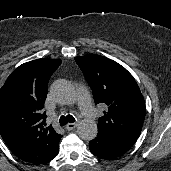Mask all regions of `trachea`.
<instances>
[{
  "mask_svg": "<svg viewBox=\"0 0 171 171\" xmlns=\"http://www.w3.org/2000/svg\"><path fill=\"white\" fill-rule=\"evenodd\" d=\"M73 123L75 122V118L72 115H66V116H61L59 119V125L64 126L67 123Z\"/></svg>",
  "mask_w": 171,
  "mask_h": 171,
  "instance_id": "obj_1",
  "label": "trachea"
}]
</instances>
